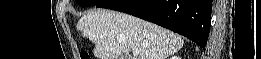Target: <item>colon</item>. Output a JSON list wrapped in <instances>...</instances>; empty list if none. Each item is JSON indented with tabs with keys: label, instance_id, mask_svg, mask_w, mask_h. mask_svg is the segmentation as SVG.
Here are the masks:
<instances>
[{
	"label": "colon",
	"instance_id": "5ec220e1",
	"mask_svg": "<svg viewBox=\"0 0 261 59\" xmlns=\"http://www.w3.org/2000/svg\"><path fill=\"white\" fill-rule=\"evenodd\" d=\"M81 59H90V55L87 52H82L80 55Z\"/></svg>",
	"mask_w": 261,
	"mask_h": 59
}]
</instances>
